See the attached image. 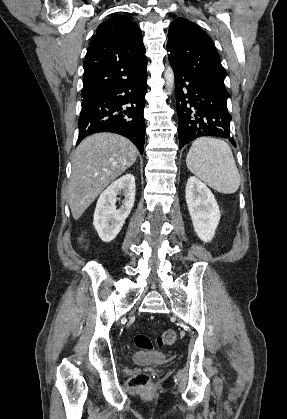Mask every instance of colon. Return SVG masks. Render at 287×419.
<instances>
[{
	"label": "colon",
	"instance_id": "obj_1",
	"mask_svg": "<svg viewBox=\"0 0 287 419\" xmlns=\"http://www.w3.org/2000/svg\"><path fill=\"white\" fill-rule=\"evenodd\" d=\"M177 340V334L173 330H167L156 338L157 346H170L175 344ZM135 345L141 350H152L153 342L150 337L144 334H138L135 336ZM149 383V376L146 373H137L133 375L128 385L130 387H144Z\"/></svg>",
	"mask_w": 287,
	"mask_h": 419
}]
</instances>
